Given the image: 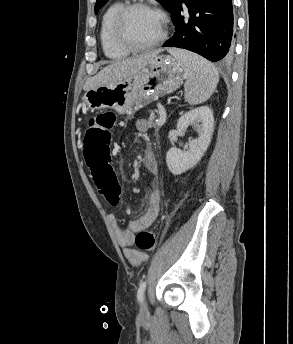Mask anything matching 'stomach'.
Segmentation results:
<instances>
[{
  "label": "stomach",
  "instance_id": "obj_1",
  "mask_svg": "<svg viewBox=\"0 0 293 344\" xmlns=\"http://www.w3.org/2000/svg\"><path fill=\"white\" fill-rule=\"evenodd\" d=\"M185 69L170 55H156L138 73L117 82L88 90L83 101L94 111L114 109L120 114L134 111V106H142L152 98L177 90L184 79Z\"/></svg>",
  "mask_w": 293,
  "mask_h": 344
}]
</instances>
